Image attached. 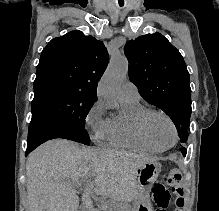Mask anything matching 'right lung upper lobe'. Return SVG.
I'll return each instance as SVG.
<instances>
[{"label": "right lung upper lobe", "mask_w": 219, "mask_h": 211, "mask_svg": "<svg viewBox=\"0 0 219 211\" xmlns=\"http://www.w3.org/2000/svg\"><path fill=\"white\" fill-rule=\"evenodd\" d=\"M108 59L103 42L79 30L54 38L41 53L34 93L60 88L96 97Z\"/></svg>", "instance_id": "cb5924a9"}]
</instances>
